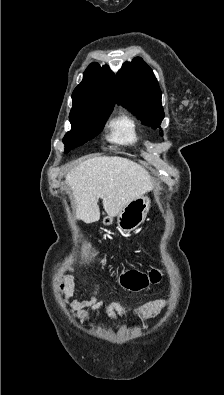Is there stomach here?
<instances>
[{"instance_id": "stomach-1", "label": "stomach", "mask_w": 224, "mask_h": 395, "mask_svg": "<svg viewBox=\"0 0 224 395\" xmlns=\"http://www.w3.org/2000/svg\"><path fill=\"white\" fill-rule=\"evenodd\" d=\"M150 210V199L148 196L142 195L137 199L129 202L116 216L117 225L120 230L124 232H131L138 228ZM112 215L108 214L103 218V224L105 226L112 225Z\"/></svg>"}]
</instances>
